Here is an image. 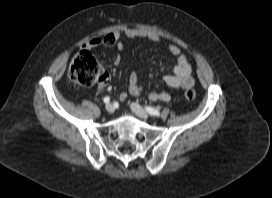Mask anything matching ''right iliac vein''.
I'll return each instance as SVG.
<instances>
[{"label":"right iliac vein","instance_id":"right-iliac-vein-1","mask_svg":"<svg viewBox=\"0 0 272 198\" xmlns=\"http://www.w3.org/2000/svg\"><path fill=\"white\" fill-rule=\"evenodd\" d=\"M105 108L108 113L114 112V106L111 103H108Z\"/></svg>","mask_w":272,"mask_h":198}]
</instances>
